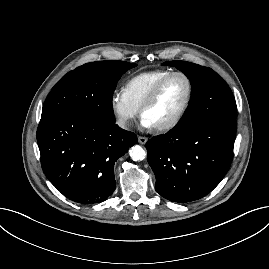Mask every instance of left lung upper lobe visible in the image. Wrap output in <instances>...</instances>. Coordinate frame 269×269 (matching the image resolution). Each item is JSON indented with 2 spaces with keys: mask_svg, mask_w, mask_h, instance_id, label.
<instances>
[{
  "mask_svg": "<svg viewBox=\"0 0 269 269\" xmlns=\"http://www.w3.org/2000/svg\"><path fill=\"white\" fill-rule=\"evenodd\" d=\"M163 65L175 66L181 70L192 85L190 104L174 129L186 130L217 117H237L232 91L212 69L185 61H167Z\"/></svg>",
  "mask_w": 269,
  "mask_h": 269,
  "instance_id": "left-lung-upper-lobe-1",
  "label": "left lung upper lobe"
}]
</instances>
